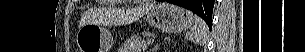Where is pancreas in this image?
I'll return each mask as SVG.
<instances>
[{"label":"pancreas","mask_w":305,"mask_h":52,"mask_svg":"<svg viewBox=\"0 0 305 52\" xmlns=\"http://www.w3.org/2000/svg\"><path fill=\"white\" fill-rule=\"evenodd\" d=\"M146 41L142 40L139 35H133L127 39L121 47L122 52H141L145 49Z\"/></svg>","instance_id":"cf45deb5"}]
</instances>
